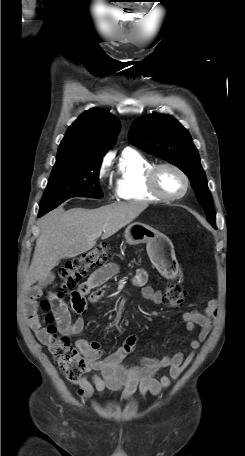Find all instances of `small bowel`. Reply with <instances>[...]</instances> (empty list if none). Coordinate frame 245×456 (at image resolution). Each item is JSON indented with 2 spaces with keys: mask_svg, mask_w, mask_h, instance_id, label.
Masks as SVG:
<instances>
[{
  "mask_svg": "<svg viewBox=\"0 0 245 456\" xmlns=\"http://www.w3.org/2000/svg\"><path fill=\"white\" fill-rule=\"evenodd\" d=\"M118 271L119 266L114 262L94 270L71 295V305L74 311L80 315L85 311L87 297L92 303L101 300L104 291L96 289L115 276ZM147 281L148 273L145 269H139L132 279L135 286L141 287L143 299L160 304L163 301V293L147 285ZM44 284L45 281H42L30 289L24 315L38 340L47 345L50 343L51 335L42 327L37 313V299L42 294ZM54 310L60 333L66 336L82 333L83 318L78 317L71 321L68 306L64 302L59 301L54 306ZM217 311V301L212 299L207 303L203 312L194 310L182 314V320L188 331L193 332L197 326L200 327L198 338L189 342V347L192 349L189 354L179 351L162 358H139L135 363H128L126 359L135 350L138 340L135 334L129 335L120 348L106 357H103V351L98 342L78 338L75 342L77 349L96 372L80 380V395L89 398L95 393L102 395L106 390L121 393L128 399L132 398L136 392L140 397L147 394L159 395L171 385V380L177 379L192 362L195 351L206 340L214 325ZM161 369H166L167 372L160 378H156L157 372Z\"/></svg>",
  "mask_w": 245,
  "mask_h": 456,
  "instance_id": "1",
  "label": "small bowel"
}]
</instances>
